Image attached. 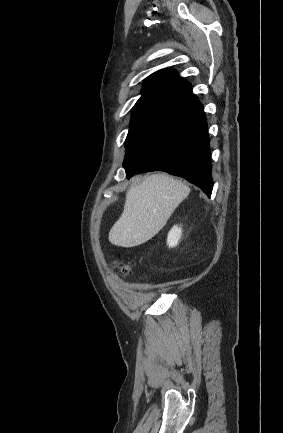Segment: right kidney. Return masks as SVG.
<instances>
[{
	"instance_id": "right-kidney-1",
	"label": "right kidney",
	"mask_w": 283,
	"mask_h": 433,
	"mask_svg": "<svg viewBox=\"0 0 283 433\" xmlns=\"http://www.w3.org/2000/svg\"><path fill=\"white\" fill-rule=\"evenodd\" d=\"M182 235L181 227L175 225L168 233L167 245L171 248L176 247Z\"/></svg>"
}]
</instances>
